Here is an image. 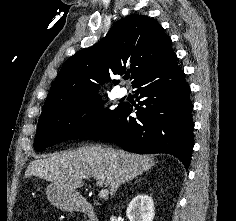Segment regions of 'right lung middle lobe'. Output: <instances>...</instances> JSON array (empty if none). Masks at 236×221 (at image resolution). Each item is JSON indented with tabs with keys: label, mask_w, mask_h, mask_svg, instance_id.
<instances>
[{
	"label": "right lung middle lobe",
	"mask_w": 236,
	"mask_h": 221,
	"mask_svg": "<svg viewBox=\"0 0 236 221\" xmlns=\"http://www.w3.org/2000/svg\"><path fill=\"white\" fill-rule=\"evenodd\" d=\"M124 105L120 103L114 110H103L104 102L100 96L90 95L42 111L34 149L41 151L65 140L88 137L102 129ZM86 112L87 115L80 119Z\"/></svg>",
	"instance_id": "dd1d6c3e"
}]
</instances>
